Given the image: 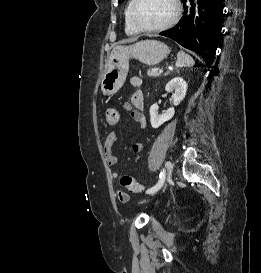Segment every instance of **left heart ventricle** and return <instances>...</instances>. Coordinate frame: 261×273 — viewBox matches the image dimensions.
Wrapping results in <instances>:
<instances>
[{
	"instance_id": "left-heart-ventricle-1",
	"label": "left heart ventricle",
	"mask_w": 261,
	"mask_h": 273,
	"mask_svg": "<svg viewBox=\"0 0 261 273\" xmlns=\"http://www.w3.org/2000/svg\"><path fill=\"white\" fill-rule=\"evenodd\" d=\"M173 14L171 0H139L134 20L141 27H156L170 20Z\"/></svg>"
}]
</instances>
